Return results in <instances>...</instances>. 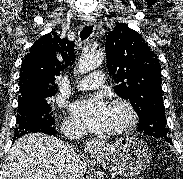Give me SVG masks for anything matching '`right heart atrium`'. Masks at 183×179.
<instances>
[{"label":"right heart atrium","mask_w":183,"mask_h":179,"mask_svg":"<svg viewBox=\"0 0 183 179\" xmlns=\"http://www.w3.org/2000/svg\"><path fill=\"white\" fill-rule=\"evenodd\" d=\"M63 129L66 132L74 133V132H79L81 130V127L78 124V122H76L75 120H73V119H67L63 123Z\"/></svg>","instance_id":"right-heart-atrium-1"}]
</instances>
